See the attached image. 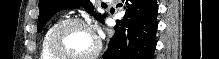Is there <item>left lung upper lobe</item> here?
Segmentation results:
<instances>
[{
	"instance_id": "1",
	"label": "left lung upper lobe",
	"mask_w": 219,
	"mask_h": 59,
	"mask_svg": "<svg viewBox=\"0 0 219 59\" xmlns=\"http://www.w3.org/2000/svg\"><path fill=\"white\" fill-rule=\"evenodd\" d=\"M84 7L88 13L104 23V17L94 13V7L89 0H39V17H38V32L42 30L48 20L58 11L63 9H73Z\"/></svg>"
}]
</instances>
